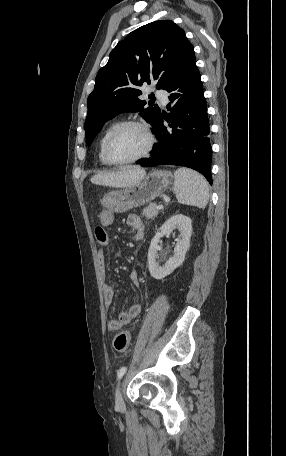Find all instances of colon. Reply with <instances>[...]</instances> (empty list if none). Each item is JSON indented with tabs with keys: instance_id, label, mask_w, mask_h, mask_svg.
<instances>
[{
	"instance_id": "1",
	"label": "colon",
	"mask_w": 286,
	"mask_h": 456,
	"mask_svg": "<svg viewBox=\"0 0 286 456\" xmlns=\"http://www.w3.org/2000/svg\"><path fill=\"white\" fill-rule=\"evenodd\" d=\"M130 343V334L127 331L119 333L113 341V347L117 352H124L127 350Z\"/></svg>"
}]
</instances>
